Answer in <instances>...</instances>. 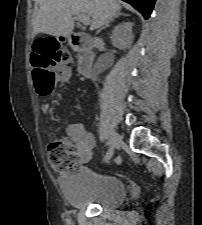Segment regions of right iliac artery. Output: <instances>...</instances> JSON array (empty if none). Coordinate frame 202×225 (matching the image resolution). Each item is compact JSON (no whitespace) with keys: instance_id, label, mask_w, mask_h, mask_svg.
<instances>
[{"instance_id":"obj_1","label":"right iliac artery","mask_w":202,"mask_h":225,"mask_svg":"<svg viewBox=\"0 0 202 225\" xmlns=\"http://www.w3.org/2000/svg\"><path fill=\"white\" fill-rule=\"evenodd\" d=\"M113 154H111V155H109V151L107 152V154L104 156V158H103V162H107L109 159H110V157L112 156Z\"/></svg>"}]
</instances>
